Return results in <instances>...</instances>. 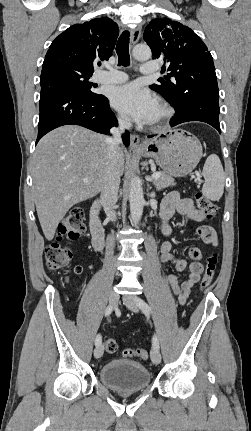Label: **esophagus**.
Wrapping results in <instances>:
<instances>
[{"instance_id": "esophagus-1", "label": "esophagus", "mask_w": 251, "mask_h": 431, "mask_svg": "<svg viewBox=\"0 0 251 431\" xmlns=\"http://www.w3.org/2000/svg\"><path fill=\"white\" fill-rule=\"evenodd\" d=\"M140 36H141V28L140 27L134 28L131 31V35H130L131 44L137 43ZM130 148H131V150H140L143 148L141 143H140V138L138 135H136V134L131 135Z\"/></svg>"}]
</instances>
